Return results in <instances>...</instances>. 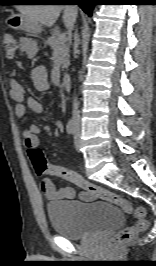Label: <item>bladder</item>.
<instances>
[{
    "instance_id": "bladder-1",
    "label": "bladder",
    "mask_w": 156,
    "mask_h": 266,
    "mask_svg": "<svg viewBox=\"0 0 156 266\" xmlns=\"http://www.w3.org/2000/svg\"><path fill=\"white\" fill-rule=\"evenodd\" d=\"M47 214L53 230L69 240L108 231L123 221L120 208L108 202L54 201L47 205Z\"/></svg>"
}]
</instances>
